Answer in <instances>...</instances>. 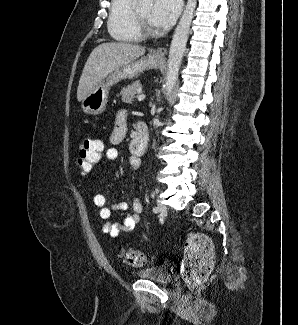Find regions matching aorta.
I'll return each instance as SVG.
<instances>
[{
  "label": "aorta",
  "mask_w": 298,
  "mask_h": 325,
  "mask_svg": "<svg viewBox=\"0 0 298 325\" xmlns=\"http://www.w3.org/2000/svg\"><path fill=\"white\" fill-rule=\"evenodd\" d=\"M137 4L138 6H143V8L144 6L150 8V6H153V0H137ZM196 4L197 0H187L183 14H181L180 20L172 36L171 44L169 46L167 72L164 84L166 96H170V94H172L173 88H175V84L179 76V70L182 64L184 50H186L189 30L193 20Z\"/></svg>",
  "instance_id": "aorta-1"
}]
</instances>
